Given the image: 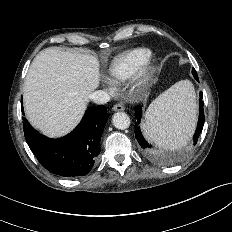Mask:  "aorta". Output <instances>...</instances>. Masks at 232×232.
<instances>
[{"label":"aorta","mask_w":232,"mask_h":232,"mask_svg":"<svg viewBox=\"0 0 232 232\" xmlns=\"http://www.w3.org/2000/svg\"><path fill=\"white\" fill-rule=\"evenodd\" d=\"M113 125L117 129H126L130 126V118L125 112H117L112 117Z\"/></svg>","instance_id":"762f6f07"}]
</instances>
